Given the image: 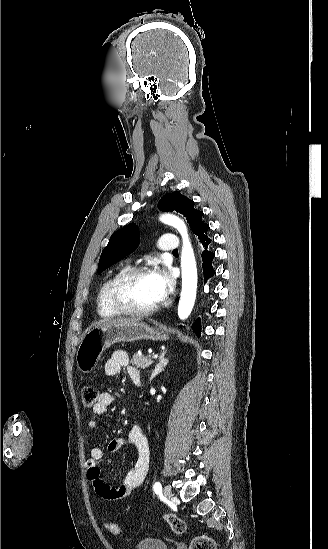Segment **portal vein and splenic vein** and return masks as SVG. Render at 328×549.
Returning a JSON list of instances; mask_svg holds the SVG:
<instances>
[{"mask_svg": "<svg viewBox=\"0 0 328 549\" xmlns=\"http://www.w3.org/2000/svg\"><path fill=\"white\" fill-rule=\"evenodd\" d=\"M152 359H157V354H153Z\"/></svg>", "mask_w": 328, "mask_h": 549, "instance_id": "portal-vein-and-splenic-vein-1", "label": "portal vein and splenic vein"}]
</instances>
